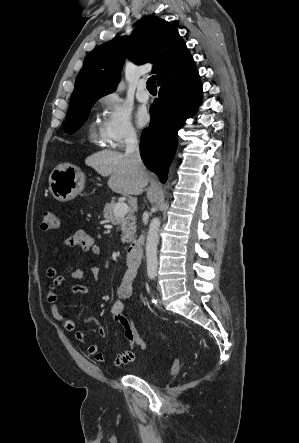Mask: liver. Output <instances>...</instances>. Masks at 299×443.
<instances>
[{
  "label": "liver",
  "mask_w": 299,
  "mask_h": 443,
  "mask_svg": "<svg viewBox=\"0 0 299 443\" xmlns=\"http://www.w3.org/2000/svg\"><path fill=\"white\" fill-rule=\"evenodd\" d=\"M103 177H109L108 187L115 193L130 196L139 195L149 182L148 172L137 168L131 159L121 152L101 150L85 159Z\"/></svg>",
  "instance_id": "obj_1"
}]
</instances>
